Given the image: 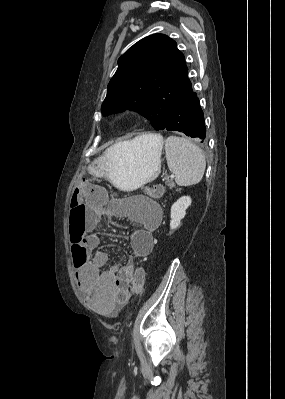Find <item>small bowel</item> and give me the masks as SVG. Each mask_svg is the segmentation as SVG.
<instances>
[{"mask_svg":"<svg viewBox=\"0 0 285 399\" xmlns=\"http://www.w3.org/2000/svg\"><path fill=\"white\" fill-rule=\"evenodd\" d=\"M119 208L117 204H107L96 210L98 218H126L131 215L141 225L130 236L131 254L123 264H109L110 251L100 248L98 236L87 233L85 221L69 220L70 235L75 239L72 242V259L75 263L77 259L84 258L76 270L78 287L103 317L116 316L132 294L141 295L142 292L133 289L134 259L150 254L154 245L152 234L162 220V212L156 207L150 209L138 204L134 215L121 212Z\"/></svg>","mask_w":285,"mask_h":399,"instance_id":"obj_1","label":"small bowel"}]
</instances>
